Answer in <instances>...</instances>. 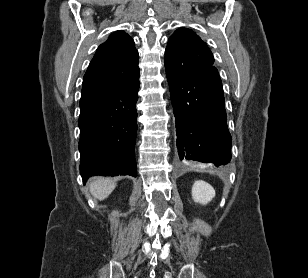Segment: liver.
<instances>
[{
    "mask_svg": "<svg viewBox=\"0 0 308 278\" xmlns=\"http://www.w3.org/2000/svg\"><path fill=\"white\" fill-rule=\"evenodd\" d=\"M89 187L90 192L95 198L104 200L115 189L116 183L110 178L96 177L90 182Z\"/></svg>",
    "mask_w": 308,
    "mask_h": 278,
    "instance_id": "6515ba94",
    "label": "liver"
}]
</instances>
